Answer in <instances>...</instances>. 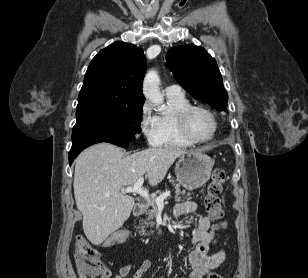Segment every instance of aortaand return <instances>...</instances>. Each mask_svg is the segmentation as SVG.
Here are the masks:
<instances>
[{
    "label": "aorta",
    "instance_id": "1",
    "mask_svg": "<svg viewBox=\"0 0 308 278\" xmlns=\"http://www.w3.org/2000/svg\"><path fill=\"white\" fill-rule=\"evenodd\" d=\"M159 85L160 78L158 76V73L155 70L149 71L144 78L143 94L149 101L157 105L159 107V110L162 111L164 110V98L159 90Z\"/></svg>",
    "mask_w": 308,
    "mask_h": 278
}]
</instances>
